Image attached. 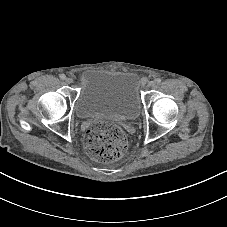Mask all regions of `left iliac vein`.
<instances>
[{
  "instance_id": "4c4485c4",
  "label": "left iliac vein",
  "mask_w": 227,
  "mask_h": 227,
  "mask_svg": "<svg viewBox=\"0 0 227 227\" xmlns=\"http://www.w3.org/2000/svg\"><path fill=\"white\" fill-rule=\"evenodd\" d=\"M155 85H156L155 81H150V82L148 83V86H149V87H154Z\"/></svg>"
}]
</instances>
